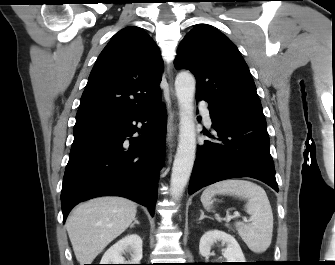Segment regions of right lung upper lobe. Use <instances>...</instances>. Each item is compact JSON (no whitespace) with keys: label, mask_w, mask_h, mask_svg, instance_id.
Listing matches in <instances>:
<instances>
[{"label":"right lung upper lobe","mask_w":335,"mask_h":265,"mask_svg":"<svg viewBox=\"0 0 335 265\" xmlns=\"http://www.w3.org/2000/svg\"><path fill=\"white\" fill-rule=\"evenodd\" d=\"M163 62L141 28L119 31L100 53L82 94L75 126H96L155 106Z\"/></svg>","instance_id":"right-lung-upper-lobe-1"}]
</instances>
